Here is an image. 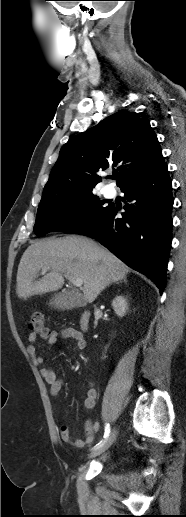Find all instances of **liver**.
Segmentation results:
<instances>
[{
  "label": "liver",
  "instance_id": "1",
  "mask_svg": "<svg viewBox=\"0 0 186 517\" xmlns=\"http://www.w3.org/2000/svg\"><path fill=\"white\" fill-rule=\"evenodd\" d=\"M49 273L35 281L39 271ZM130 268L106 248L79 236L36 241L23 253L17 272L16 293L20 299L57 291L64 276L83 280L85 300L92 303L107 285L125 278Z\"/></svg>",
  "mask_w": 186,
  "mask_h": 517
}]
</instances>
